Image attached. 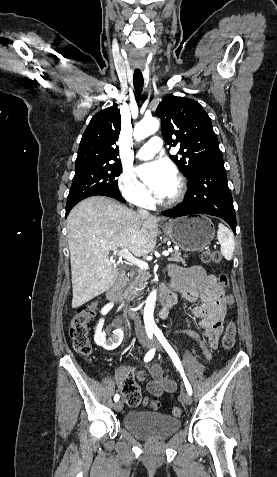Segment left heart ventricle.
<instances>
[{
  "label": "left heart ventricle",
  "instance_id": "left-heart-ventricle-1",
  "mask_svg": "<svg viewBox=\"0 0 277 477\" xmlns=\"http://www.w3.org/2000/svg\"><path fill=\"white\" fill-rule=\"evenodd\" d=\"M177 188H178V186H177V181H176V182L174 183V185H173L171 191L169 192V194L165 197V199H169V198L173 197V196L176 194V192H177Z\"/></svg>",
  "mask_w": 277,
  "mask_h": 477
}]
</instances>
